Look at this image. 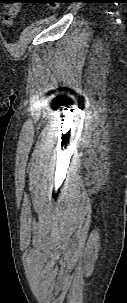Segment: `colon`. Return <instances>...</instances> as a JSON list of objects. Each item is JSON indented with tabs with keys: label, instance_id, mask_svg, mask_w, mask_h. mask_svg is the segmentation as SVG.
I'll list each match as a JSON object with an SVG mask.
<instances>
[{
	"label": "colon",
	"instance_id": "obj_1",
	"mask_svg": "<svg viewBox=\"0 0 127 303\" xmlns=\"http://www.w3.org/2000/svg\"><path fill=\"white\" fill-rule=\"evenodd\" d=\"M57 6H58V5H57L56 3H54V2H53V3H51V8H52V9H56V8H57Z\"/></svg>",
	"mask_w": 127,
	"mask_h": 303
}]
</instances>
